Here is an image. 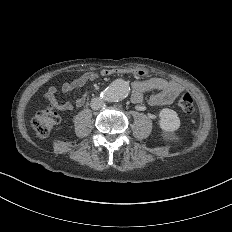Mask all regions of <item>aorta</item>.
Segmentation results:
<instances>
[{"label": "aorta", "mask_w": 232, "mask_h": 232, "mask_svg": "<svg viewBox=\"0 0 232 232\" xmlns=\"http://www.w3.org/2000/svg\"><path fill=\"white\" fill-rule=\"evenodd\" d=\"M129 84L122 80H114L103 92V97L110 102H118L126 98L129 94Z\"/></svg>", "instance_id": "1"}]
</instances>
